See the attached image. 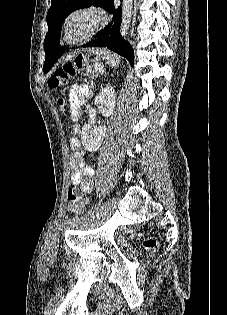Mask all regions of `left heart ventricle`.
I'll list each match as a JSON object with an SVG mask.
<instances>
[{
  "label": "left heart ventricle",
  "instance_id": "obj_1",
  "mask_svg": "<svg viewBox=\"0 0 227 315\" xmlns=\"http://www.w3.org/2000/svg\"><path fill=\"white\" fill-rule=\"evenodd\" d=\"M90 22L91 20L87 17H79L74 21V27L76 29H81L86 27Z\"/></svg>",
  "mask_w": 227,
  "mask_h": 315
}]
</instances>
